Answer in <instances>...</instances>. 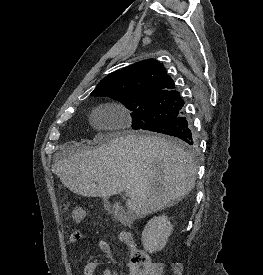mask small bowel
<instances>
[{
  "label": "small bowel",
  "mask_w": 263,
  "mask_h": 275,
  "mask_svg": "<svg viewBox=\"0 0 263 275\" xmlns=\"http://www.w3.org/2000/svg\"><path fill=\"white\" fill-rule=\"evenodd\" d=\"M82 239V233L76 231L72 233L68 239V245L72 246L79 242ZM98 247L102 253L105 255H110L112 253V247L110 243L105 240H100L98 242ZM99 266V262L96 260H90L86 263L83 269V275H96V270ZM101 275H112L109 269H104ZM127 275H142V272L139 271L135 266L131 263L128 264V274Z\"/></svg>",
  "instance_id": "c3829d8e"
}]
</instances>
